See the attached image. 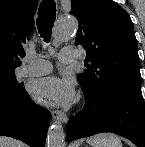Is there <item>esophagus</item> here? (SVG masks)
Returning <instances> with one entry per match:
<instances>
[{"instance_id": "1", "label": "esophagus", "mask_w": 145, "mask_h": 147, "mask_svg": "<svg viewBox=\"0 0 145 147\" xmlns=\"http://www.w3.org/2000/svg\"><path fill=\"white\" fill-rule=\"evenodd\" d=\"M51 115L54 120H59L62 123H66L68 120L67 115L61 110H52Z\"/></svg>"}]
</instances>
